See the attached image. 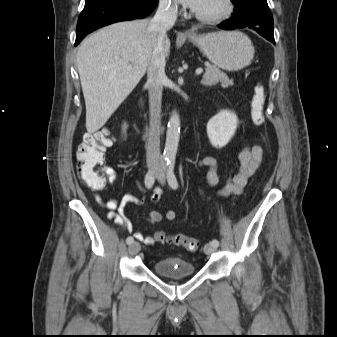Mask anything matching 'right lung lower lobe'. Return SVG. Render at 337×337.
Here are the masks:
<instances>
[{
    "instance_id": "1",
    "label": "right lung lower lobe",
    "mask_w": 337,
    "mask_h": 337,
    "mask_svg": "<svg viewBox=\"0 0 337 337\" xmlns=\"http://www.w3.org/2000/svg\"><path fill=\"white\" fill-rule=\"evenodd\" d=\"M157 3L158 0H85V7L78 19L75 46L98 28L146 17Z\"/></svg>"
}]
</instances>
